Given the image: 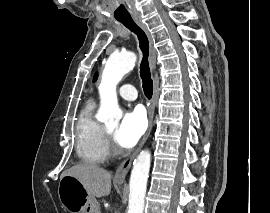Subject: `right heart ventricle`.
<instances>
[{
	"instance_id": "right-heart-ventricle-1",
	"label": "right heart ventricle",
	"mask_w": 270,
	"mask_h": 213,
	"mask_svg": "<svg viewBox=\"0 0 270 213\" xmlns=\"http://www.w3.org/2000/svg\"><path fill=\"white\" fill-rule=\"evenodd\" d=\"M95 102L85 103L76 124V152L85 162L100 164L110 156L104 126L94 116Z\"/></svg>"
}]
</instances>
